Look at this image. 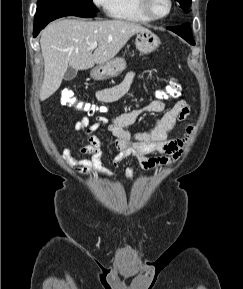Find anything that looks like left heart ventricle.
<instances>
[{
	"mask_svg": "<svg viewBox=\"0 0 243 289\" xmlns=\"http://www.w3.org/2000/svg\"><path fill=\"white\" fill-rule=\"evenodd\" d=\"M150 8L155 15H164L169 9L168 0H150Z\"/></svg>",
	"mask_w": 243,
	"mask_h": 289,
	"instance_id": "left-heart-ventricle-1",
	"label": "left heart ventricle"
}]
</instances>
